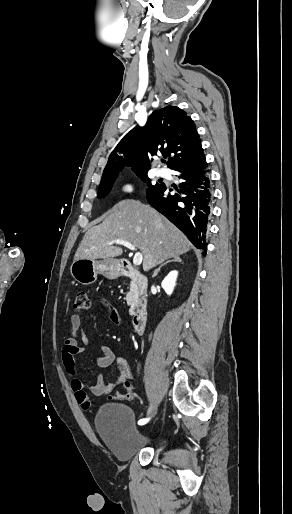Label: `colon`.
Returning a JSON list of instances; mask_svg holds the SVG:
<instances>
[{
	"label": "colon",
	"mask_w": 292,
	"mask_h": 514,
	"mask_svg": "<svg viewBox=\"0 0 292 514\" xmlns=\"http://www.w3.org/2000/svg\"><path fill=\"white\" fill-rule=\"evenodd\" d=\"M90 307L89 302V294L87 291H79L76 294V299L74 303V309L77 311L87 310ZM123 392L125 394H130L132 392V387L130 385H125L123 387Z\"/></svg>",
	"instance_id": "colon-1"
}]
</instances>
